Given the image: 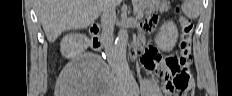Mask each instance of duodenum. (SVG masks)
I'll return each mask as SVG.
<instances>
[{"label": "duodenum", "instance_id": "1", "mask_svg": "<svg viewBox=\"0 0 232 96\" xmlns=\"http://www.w3.org/2000/svg\"><path fill=\"white\" fill-rule=\"evenodd\" d=\"M97 33H98V26L93 25L90 29V35H91V44L94 51L101 50V41L98 39ZM136 54H137V50L135 49L133 51V55L136 56Z\"/></svg>", "mask_w": 232, "mask_h": 96}]
</instances>
